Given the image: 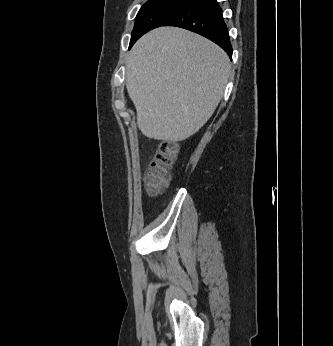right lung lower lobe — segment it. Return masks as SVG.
<instances>
[{
	"label": "right lung lower lobe",
	"instance_id": "obj_1",
	"mask_svg": "<svg viewBox=\"0 0 333 346\" xmlns=\"http://www.w3.org/2000/svg\"><path fill=\"white\" fill-rule=\"evenodd\" d=\"M162 26L198 33L218 44L232 58L228 29L217 0H187Z\"/></svg>",
	"mask_w": 333,
	"mask_h": 346
}]
</instances>
